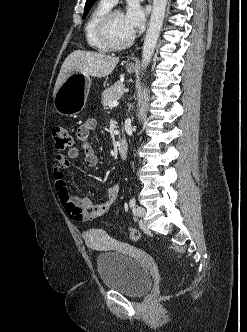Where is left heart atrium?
Instances as JSON below:
<instances>
[{"label":"left heart atrium","mask_w":247,"mask_h":332,"mask_svg":"<svg viewBox=\"0 0 247 332\" xmlns=\"http://www.w3.org/2000/svg\"><path fill=\"white\" fill-rule=\"evenodd\" d=\"M127 26L134 32L140 28L145 19L142 8L137 3H132L128 6L126 12L123 14Z\"/></svg>","instance_id":"39dd6f15"}]
</instances>
